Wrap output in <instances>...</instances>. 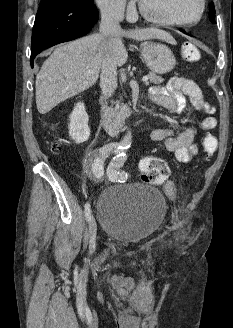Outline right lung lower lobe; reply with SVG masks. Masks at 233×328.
Listing matches in <instances>:
<instances>
[{"label": "right lung lower lobe", "mask_w": 233, "mask_h": 328, "mask_svg": "<svg viewBox=\"0 0 233 328\" xmlns=\"http://www.w3.org/2000/svg\"><path fill=\"white\" fill-rule=\"evenodd\" d=\"M97 21L98 11L94 4L41 0L33 27L31 66L41 51L84 36Z\"/></svg>", "instance_id": "obj_1"}]
</instances>
